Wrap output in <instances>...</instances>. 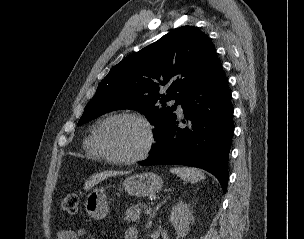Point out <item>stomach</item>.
Masks as SVG:
<instances>
[{"label": "stomach", "mask_w": 304, "mask_h": 239, "mask_svg": "<svg viewBox=\"0 0 304 239\" xmlns=\"http://www.w3.org/2000/svg\"><path fill=\"white\" fill-rule=\"evenodd\" d=\"M162 186L161 177L152 172L134 174L123 182L125 191L137 197L153 195L160 191ZM85 208L92 218L97 220L104 218L109 211L105 190L103 188L92 190L86 197Z\"/></svg>", "instance_id": "obj_1"}]
</instances>
